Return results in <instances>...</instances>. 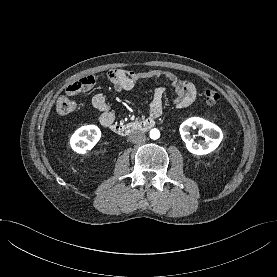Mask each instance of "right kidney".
<instances>
[{
  "label": "right kidney",
  "mask_w": 277,
  "mask_h": 277,
  "mask_svg": "<svg viewBox=\"0 0 277 277\" xmlns=\"http://www.w3.org/2000/svg\"><path fill=\"white\" fill-rule=\"evenodd\" d=\"M100 137L101 131L96 125L82 126L71 136L70 145L75 152L84 154L93 148Z\"/></svg>",
  "instance_id": "right-kidney-1"
}]
</instances>
